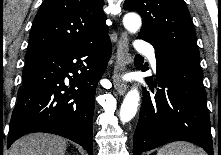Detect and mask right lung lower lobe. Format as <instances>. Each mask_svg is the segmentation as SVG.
<instances>
[{
	"label": "right lung lower lobe",
	"mask_w": 221,
	"mask_h": 155,
	"mask_svg": "<svg viewBox=\"0 0 221 155\" xmlns=\"http://www.w3.org/2000/svg\"><path fill=\"white\" fill-rule=\"evenodd\" d=\"M111 51L108 34L81 45L28 49L7 148L27 133L47 132L74 141L93 155L95 89ZM65 78L69 79L70 87Z\"/></svg>",
	"instance_id": "98d812e1"
}]
</instances>
